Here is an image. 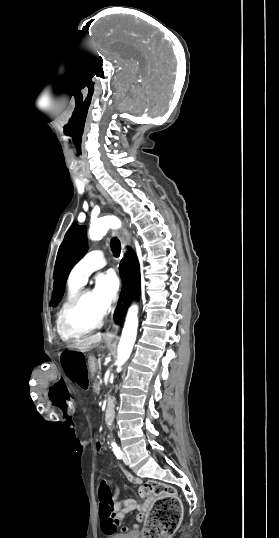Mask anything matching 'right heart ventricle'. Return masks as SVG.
<instances>
[{"label":"right heart ventricle","mask_w":279,"mask_h":538,"mask_svg":"<svg viewBox=\"0 0 279 538\" xmlns=\"http://www.w3.org/2000/svg\"><path fill=\"white\" fill-rule=\"evenodd\" d=\"M106 231H107V217L104 214H102L99 209L98 210H93L92 214H91L90 225H89L90 234L91 235H100V234L105 233ZM74 268H75V266L73 267V269H72V271L70 273L69 280H68V285H67V291H66L65 297H64V299H63V301L61 303V306H60V308L58 310L57 318H56L57 331H58L60 337L64 341H69L70 338L66 337L60 330V317H61V314H62L64 308L67 306V304L73 299V297L81 290V288L84 285V283H80V282L75 281V280L72 279Z\"/></svg>","instance_id":"1"}]
</instances>
